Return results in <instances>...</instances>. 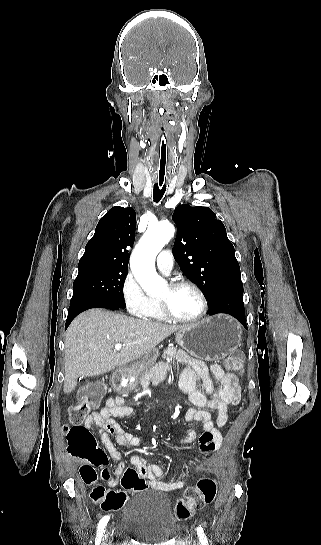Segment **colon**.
<instances>
[{
    "label": "colon",
    "mask_w": 321,
    "mask_h": 545,
    "mask_svg": "<svg viewBox=\"0 0 321 545\" xmlns=\"http://www.w3.org/2000/svg\"><path fill=\"white\" fill-rule=\"evenodd\" d=\"M227 373L237 377L242 372V357L231 352L224 362ZM104 394V387L92 383L83 387L78 394V402L69 411L68 422L64 433L68 441V452L80 458L94 460L102 457L103 451L90 429L85 425L89 412L98 407ZM122 487L131 493L147 488L146 480L134 469H127L121 478ZM217 485L211 478H201L195 486L188 488L184 496L178 500L175 508L179 519L189 518L193 512L211 503L216 496ZM91 500L99 504L105 511H115L122 508L126 502V494L122 491L106 489L95 485L90 492Z\"/></svg>",
    "instance_id": "5ec220e1"
}]
</instances>
